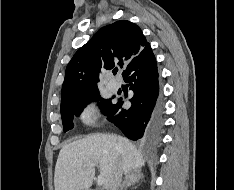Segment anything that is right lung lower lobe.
<instances>
[{"mask_svg":"<svg viewBox=\"0 0 234 190\" xmlns=\"http://www.w3.org/2000/svg\"><path fill=\"white\" fill-rule=\"evenodd\" d=\"M123 79L133 92L132 106L123 109L120 98L109 113V121L131 140H155L161 128L162 109L157 63L150 46L129 63Z\"/></svg>","mask_w":234,"mask_h":190,"instance_id":"obj_1","label":"right lung lower lobe"}]
</instances>
